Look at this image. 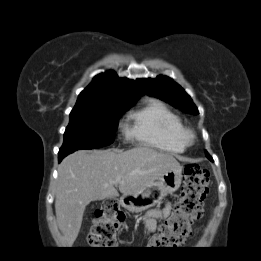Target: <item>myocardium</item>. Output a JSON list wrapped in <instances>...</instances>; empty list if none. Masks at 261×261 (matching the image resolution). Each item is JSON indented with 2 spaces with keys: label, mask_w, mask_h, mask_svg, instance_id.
Masks as SVG:
<instances>
[{
  "label": "myocardium",
  "mask_w": 261,
  "mask_h": 261,
  "mask_svg": "<svg viewBox=\"0 0 261 261\" xmlns=\"http://www.w3.org/2000/svg\"><path fill=\"white\" fill-rule=\"evenodd\" d=\"M183 138L186 145H191L195 140V134L192 130L184 128Z\"/></svg>",
  "instance_id": "1"
}]
</instances>
